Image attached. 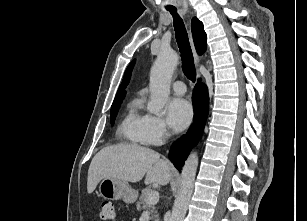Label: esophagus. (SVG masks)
Instances as JSON below:
<instances>
[{
  "instance_id": "1",
  "label": "esophagus",
  "mask_w": 307,
  "mask_h": 221,
  "mask_svg": "<svg viewBox=\"0 0 307 221\" xmlns=\"http://www.w3.org/2000/svg\"><path fill=\"white\" fill-rule=\"evenodd\" d=\"M190 39H191V44H192V49H193V53H194V60H195V63L198 65L199 63V60H200V57L197 55L196 51H195V48H194V45H193V41H192V37L190 36ZM200 77V74L198 72V78Z\"/></svg>"
}]
</instances>
